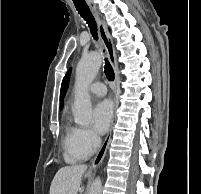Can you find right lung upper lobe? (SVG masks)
Segmentation results:
<instances>
[{"label": "right lung upper lobe", "instance_id": "cb5924a9", "mask_svg": "<svg viewBox=\"0 0 201 194\" xmlns=\"http://www.w3.org/2000/svg\"><path fill=\"white\" fill-rule=\"evenodd\" d=\"M62 107H63V102L61 103V106H60V108L62 109Z\"/></svg>", "mask_w": 201, "mask_h": 194}]
</instances>
